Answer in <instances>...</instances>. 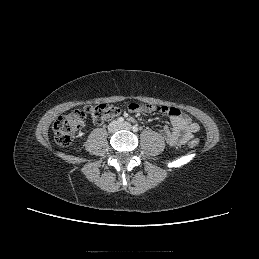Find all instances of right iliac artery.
I'll use <instances>...</instances> for the list:
<instances>
[{
  "instance_id": "1",
  "label": "right iliac artery",
  "mask_w": 259,
  "mask_h": 259,
  "mask_svg": "<svg viewBox=\"0 0 259 259\" xmlns=\"http://www.w3.org/2000/svg\"><path fill=\"white\" fill-rule=\"evenodd\" d=\"M117 121H118V123H123L124 122V118L123 117H119Z\"/></svg>"
}]
</instances>
